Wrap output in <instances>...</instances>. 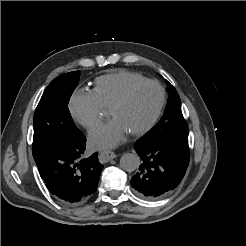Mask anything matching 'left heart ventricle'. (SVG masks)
<instances>
[{
  "label": "left heart ventricle",
  "mask_w": 246,
  "mask_h": 246,
  "mask_svg": "<svg viewBox=\"0 0 246 246\" xmlns=\"http://www.w3.org/2000/svg\"><path fill=\"white\" fill-rule=\"evenodd\" d=\"M160 100L159 89L155 85H144L137 89L128 101L112 113L127 131L144 126L154 115Z\"/></svg>",
  "instance_id": "obj_1"
}]
</instances>
